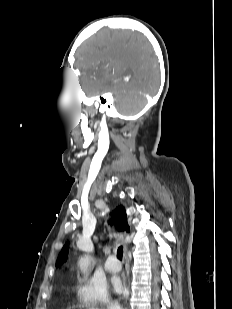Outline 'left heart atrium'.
Wrapping results in <instances>:
<instances>
[{"instance_id":"39dd6f15","label":"left heart atrium","mask_w":232,"mask_h":309,"mask_svg":"<svg viewBox=\"0 0 232 309\" xmlns=\"http://www.w3.org/2000/svg\"><path fill=\"white\" fill-rule=\"evenodd\" d=\"M113 287H114V289L117 293H119V294L125 293L124 286H123L121 280H119L118 278L113 279Z\"/></svg>"}]
</instances>
